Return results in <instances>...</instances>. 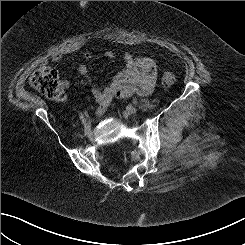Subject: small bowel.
Returning a JSON list of instances; mask_svg holds the SVG:
<instances>
[{
  "instance_id": "c3829d8e",
  "label": "small bowel",
  "mask_w": 245,
  "mask_h": 245,
  "mask_svg": "<svg viewBox=\"0 0 245 245\" xmlns=\"http://www.w3.org/2000/svg\"><path fill=\"white\" fill-rule=\"evenodd\" d=\"M111 58L112 54H108ZM91 53L83 54L84 60H89ZM61 57L56 55L52 58L53 63L60 62ZM124 68L116 74L111 83L104 89L92 84L91 92L98 103L96 115L101 117L114 98H128L135 94L147 96L154 90L156 83V66L152 59L142 56L126 54L123 58ZM78 73L91 82V75L88 67L84 64L78 68ZM63 89H68L70 84L67 80L61 82ZM63 93L60 100L64 99Z\"/></svg>"
}]
</instances>
